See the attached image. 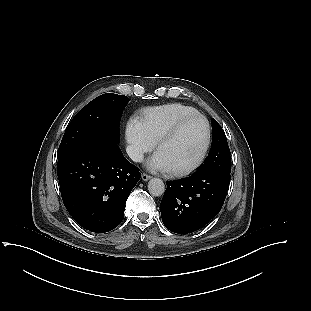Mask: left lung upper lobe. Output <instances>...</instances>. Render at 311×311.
<instances>
[{"instance_id":"left-lung-upper-lobe-1","label":"left lung upper lobe","mask_w":311,"mask_h":311,"mask_svg":"<svg viewBox=\"0 0 311 311\" xmlns=\"http://www.w3.org/2000/svg\"><path fill=\"white\" fill-rule=\"evenodd\" d=\"M213 130L212 147L204 164L197 171L220 170L231 172V156L224 130L215 119L211 120Z\"/></svg>"}]
</instances>
